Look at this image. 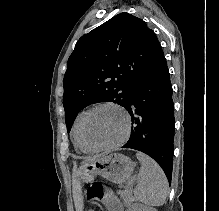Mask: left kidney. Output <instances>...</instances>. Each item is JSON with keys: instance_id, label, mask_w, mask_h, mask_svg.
<instances>
[{"instance_id": "5707ae66", "label": "left kidney", "mask_w": 219, "mask_h": 211, "mask_svg": "<svg viewBox=\"0 0 219 211\" xmlns=\"http://www.w3.org/2000/svg\"><path fill=\"white\" fill-rule=\"evenodd\" d=\"M132 211H157L155 207H147V205H142V203H133Z\"/></svg>"}]
</instances>
